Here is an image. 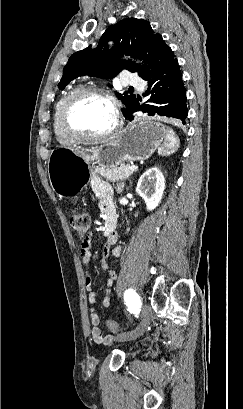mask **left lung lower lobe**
Segmentation results:
<instances>
[{
	"label": "left lung lower lobe",
	"mask_w": 243,
	"mask_h": 409,
	"mask_svg": "<svg viewBox=\"0 0 243 409\" xmlns=\"http://www.w3.org/2000/svg\"><path fill=\"white\" fill-rule=\"evenodd\" d=\"M146 80L149 81L147 94L151 95L148 104L140 105L137 99L124 116L132 121L133 113L142 111L149 116L173 117L185 124L187 98L177 59Z\"/></svg>",
	"instance_id": "left-lung-lower-lobe-1"
}]
</instances>
